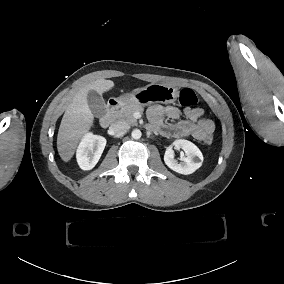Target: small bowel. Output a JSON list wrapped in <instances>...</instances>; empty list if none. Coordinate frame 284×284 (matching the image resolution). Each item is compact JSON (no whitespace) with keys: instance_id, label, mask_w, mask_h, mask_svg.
Instances as JSON below:
<instances>
[{"instance_id":"1","label":"small bowel","mask_w":284,"mask_h":284,"mask_svg":"<svg viewBox=\"0 0 284 284\" xmlns=\"http://www.w3.org/2000/svg\"><path fill=\"white\" fill-rule=\"evenodd\" d=\"M186 119H181L182 111L175 106L154 105L148 110V118L154 128L164 136L183 138L191 136L199 141L212 135L214 123L204 117L201 108H187L184 110ZM168 118L172 123L164 122Z\"/></svg>"}]
</instances>
